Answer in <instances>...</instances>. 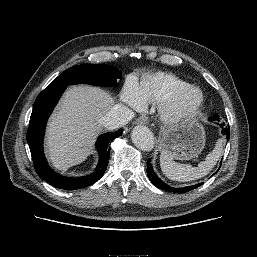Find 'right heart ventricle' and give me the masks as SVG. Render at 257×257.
<instances>
[{
  "instance_id": "right-heart-ventricle-1",
  "label": "right heart ventricle",
  "mask_w": 257,
  "mask_h": 257,
  "mask_svg": "<svg viewBox=\"0 0 257 257\" xmlns=\"http://www.w3.org/2000/svg\"><path fill=\"white\" fill-rule=\"evenodd\" d=\"M189 85L186 81L168 72H152L144 74L135 83V93L142 105L160 103L173 91Z\"/></svg>"
}]
</instances>
